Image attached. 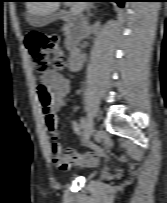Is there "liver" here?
<instances>
[{
	"label": "liver",
	"instance_id": "6515ba94",
	"mask_svg": "<svg viewBox=\"0 0 167 203\" xmlns=\"http://www.w3.org/2000/svg\"><path fill=\"white\" fill-rule=\"evenodd\" d=\"M60 6V2H27L26 7L29 13L37 15L51 14ZM70 12L74 16H80L82 12L89 6L86 2L70 3Z\"/></svg>",
	"mask_w": 167,
	"mask_h": 203
}]
</instances>
